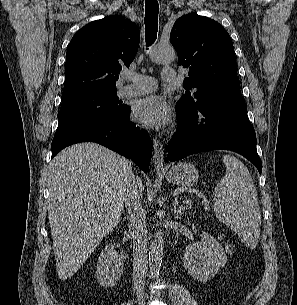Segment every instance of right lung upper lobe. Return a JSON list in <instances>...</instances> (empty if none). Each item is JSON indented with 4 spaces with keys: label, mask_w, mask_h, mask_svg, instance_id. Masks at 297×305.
<instances>
[{
    "label": "right lung upper lobe",
    "mask_w": 297,
    "mask_h": 305,
    "mask_svg": "<svg viewBox=\"0 0 297 305\" xmlns=\"http://www.w3.org/2000/svg\"><path fill=\"white\" fill-rule=\"evenodd\" d=\"M139 42L137 25L121 16L96 20L78 30L66 53L62 100L117 91L118 74L135 58Z\"/></svg>",
    "instance_id": "right-lung-upper-lobe-1"
}]
</instances>
